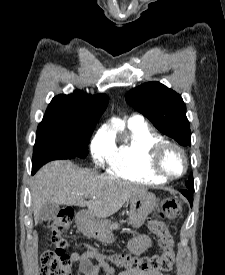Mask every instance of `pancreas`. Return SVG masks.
Returning a JSON list of instances; mask_svg holds the SVG:
<instances>
[{"instance_id":"obj_1","label":"pancreas","mask_w":225,"mask_h":275,"mask_svg":"<svg viewBox=\"0 0 225 275\" xmlns=\"http://www.w3.org/2000/svg\"><path fill=\"white\" fill-rule=\"evenodd\" d=\"M111 229H118L119 228V224L118 223H114V224H112L111 226Z\"/></svg>"}]
</instances>
